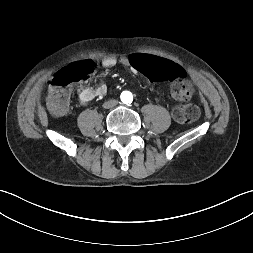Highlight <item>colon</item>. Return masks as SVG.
I'll return each instance as SVG.
<instances>
[{
    "instance_id": "colon-1",
    "label": "colon",
    "mask_w": 253,
    "mask_h": 253,
    "mask_svg": "<svg viewBox=\"0 0 253 253\" xmlns=\"http://www.w3.org/2000/svg\"><path fill=\"white\" fill-rule=\"evenodd\" d=\"M130 67L144 77L160 82L172 83V95L179 101H187L192 97L193 88L185 81L186 74L183 66L176 61L160 57H149L146 53H136L130 60ZM91 61L73 64L54 76L51 81L48 104L50 109L63 114L69 106V88L73 84L86 80L93 72ZM199 108L194 104H182L174 108V119L182 124L191 123L198 119Z\"/></svg>"
}]
</instances>
